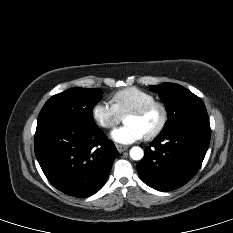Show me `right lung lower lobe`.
I'll return each mask as SVG.
<instances>
[{"instance_id": "obj_1", "label": "right lung lower lobe", "mask_w": 233, "mask_h": 233, "mask_svg": "<svg viewBox=\"0 0 233 233\" xmlns=\"http://www.w3.org/2000/svg\"><path fill=\"white\" fill-rule=\"evenodd\" d=\"M35 154L55 188L86 198L105 184L117 149L96 125L55 118L37 123Z\"/></svg>"}]
</instances>
